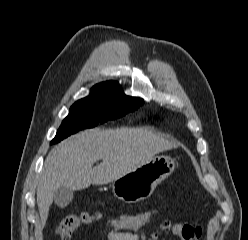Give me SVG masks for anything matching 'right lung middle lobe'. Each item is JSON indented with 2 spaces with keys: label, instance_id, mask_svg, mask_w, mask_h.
I'll return each mask as SVG.
<instances>
[{
  "label": "right lung middle lobe",
  "instance_id": "1",
  "mask_svg": "<svg viewBox=\"0 0 248 240\" xmlns=\"http://www.w3.org/2000/svg\"><path fill=\"white\" fill-rule=\"evenodd\" d=\"M143 100L126 96L121 87L111 91L93 89L88 97L78 100L63 120L51 144L60 142L79 130L120 118L136 110Z\"/></svg>",
  "mask_w": 248,
  "mask_h": 240
}]
</instances>
